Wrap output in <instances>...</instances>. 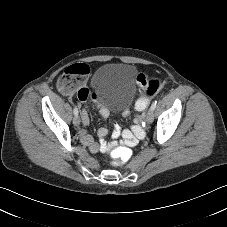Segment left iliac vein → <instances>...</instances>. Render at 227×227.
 Instances as JSON below:
<instances>
[{
    "mask_svg": "<svg viewBox=\"0 0 227 227\" xmlns=\"http://www.w3.org/2000/svg\"><path fill=\"white\" fill-rule=\"evenodd\" d=\"M154 119V111L152 109H149L146 114V123L151 124Z\"/></svg>",
    "mask_w": 227,
    "mask_h": 227,
    "instance_id": "4c4485c4",
    "label": "left iliac vein"
}]
</instances>
